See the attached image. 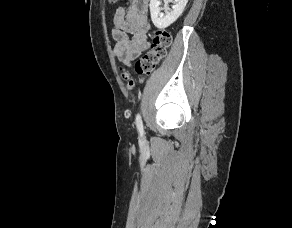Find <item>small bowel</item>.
Returning <instances> with one entry per match:
<instances>
[{"mask_svg": "<svg viewBox=\"0 0 292 228\" xmlns=\"http://www.w3.org/2000/svg\"><path fill=\"white\" fill-rule=\"evenodd\" d=\"M148 4L149 0H129L127 6L118 7L114 13V54L126 66H131L149 48Z\"/></svg>", "mask_w": 292, "mask_h": 228, "instance_id": "small-bowel-1", "label": "small bowel"}]
</instances>
